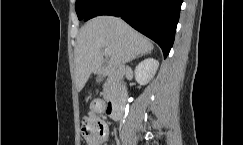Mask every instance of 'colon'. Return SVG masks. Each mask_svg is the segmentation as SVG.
<instances>
[{
    "mask_svg": "<svg viewBox=\"0 0 243 145\" xmlns=\"http://www.w3.org/2000/svg\"><path fill=\"white\" fill-rule=\"evenodd\" d=\"M95 131L94 125L89 121L87 117L83 119L81 133L82 136L86 139L90 137Z\"/></svg>",
    "mask_w": 243,
    "mask_h": 145,
    "instance_id": "obj_1",
    "label": "colon"
}]
</instances>
